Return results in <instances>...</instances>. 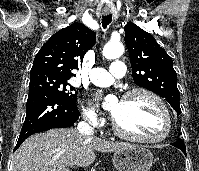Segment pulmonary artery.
Wrapping results in <instances>:
<instances>
[{
  "label": "pulmonary artery",
  "instance_id": "obj_1",
  "mask_svg": "<svg viewBox=\"0 0 199 171\" xmlns=\"http://www.w3.org/2000/svg\"><path fill=\"white\" fill-rule=\"evenodd\" d=\"M125 73V64L121 60H115L111 63L109 71L103 68H93L90 71V81L97 86L106 87L111 85L115 78L123 77Z\"/></svg>",
  "mask_w": 199,
  "mask_h": 171
}]
</instances>
